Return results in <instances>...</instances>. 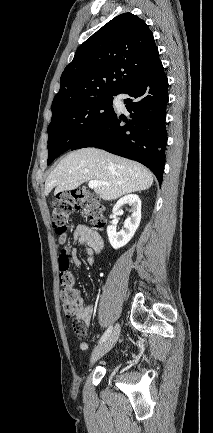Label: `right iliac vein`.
<instances>
[{
  "mask_svg": "<svg viewBox=\"0 0 213 433\" xmlns=\"http://www.w3.org/2000/svg\"><path fill=\"white\" fill-rule=\"evenodd\" d=\"M119 335L120 325L116 324L109 337L102 344H100L94 349L90 358L91 364H94L97 360H99L102 356H104L113 348L119 338Z\"/></svg>",
  "mask_w": 213,
  "mask_h": 433,
  "instance_id": "obj_1",
  "label": "right iliac vein"
}]
</instances>
